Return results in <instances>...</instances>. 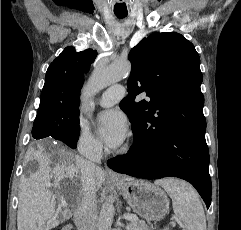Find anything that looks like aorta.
Segmentation results:
<instances>
[{"label":"aorta","mask_w":241,"mask_h":230,"mask_svg":"<svg viewBox=\"0 0 241 230\" xmlns=\"http://www.w3.org/2000/svg\"><path fill=\"white\" fill-rule=\"evenodd\" d=\"M131 73V63L129 61H115L107 66H101L94 70L84 89L83 97L89 98L104 89L105 87L121 81ZM115 208L112 202L107 200L102 204L100 210L97 230H113Z\"/></svg>","instance_id":"762f6f07"}]
</instances>
